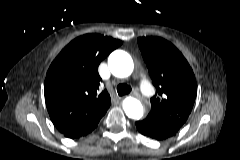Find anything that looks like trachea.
I'll use <instances>...</instances> for the list:
<instances>
[{
  "label": "trachea",
  "instance_id": "3493384b",
  "mask_svg": "<svg viewBox=\"0 0 240 160\" xmlns=\"http://www.w3.org/2000/svg\"><path fill=\"white\" fill-rule=\"evenodd\" d=\"M131 90H132L131 86L127 85L125 83L119 84L117 86V93L119 96L129 94L131 92Z\"/></svg>",
  "mask_w": 240,
  "mask_h": 160
}]
</instances>
